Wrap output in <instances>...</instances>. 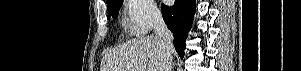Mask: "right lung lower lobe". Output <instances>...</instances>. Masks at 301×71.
I'll return each instance as SVG.
<instances>
[{
    "instance_id": "right-lung-lower-lobe-1",
    "label": "right lung lower lobe",
    "mask_w": 301,
    "mask_h": 71,
    "mask_svg": "<svg viewBox=\"0 0 301 71\" xmlns=\"http://www.w3.org/2000/svg\"><path fill=\"white\" fill-rule=\"evenodd\" d=\"M195 13V0H175L173 6L162 4V16L174 35L178 55L184 57L185 41Z\"/></svg>"
}]
</instances>
